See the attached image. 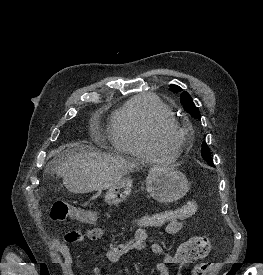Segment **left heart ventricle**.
<instances>
[{"label": "left heart ventricle", "mask_w": 263, "mask_h": 275, "mask_svg": "<svg viewBox=\"0 0 263 275\" xmlns=\"http://www.w3.org/2000/svg\"><path fill=\"white\" fill-rule=\"evenodd\" d=\"M165 138H167V139H171V136H169V135H165Z\"/></svg>", "instance_id": "obj_1"}]
</instances>
